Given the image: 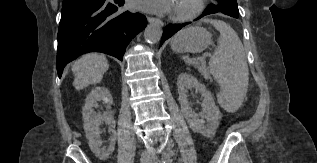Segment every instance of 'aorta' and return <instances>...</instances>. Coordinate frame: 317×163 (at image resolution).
<instances>
[{
	"mask_svg": "<svg viewBox=\"0 0 317 163\" xmlns=\"http://www.w3.org/2000/svg\"><path fill=\"white\" fill-rule=\"evenodd\" d=\"M162 33L163 30L160 21L155 20L146 27L144 38L147 43L155 44L160 41Z\"/></svg>",
	"mask_w": 317,
	"mask_h": 163,
	"instance_id": "obj_1",
	"label": "aorta"
}]
</instances>
